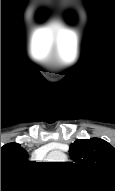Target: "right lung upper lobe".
Returning <instances> with one entry per match:
<instances>
[{
  "label": "right lung upper lobe",
  "mask_w": 115,
  "mask_h": 191,
  "mask_svg": "<svg viewBox=\"0 0 115 191\" xmlns=\"http://www.w3.org/2000/svg\"><path fill=\"white\" fill-rule=\"evenodd\" d=\"M28 153L17 143H9L1 147V173L17 171L29 163Z\"/></svg>",
  "instance_id": "obj_1"
}]
</instances>
